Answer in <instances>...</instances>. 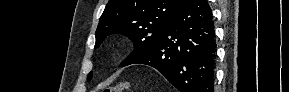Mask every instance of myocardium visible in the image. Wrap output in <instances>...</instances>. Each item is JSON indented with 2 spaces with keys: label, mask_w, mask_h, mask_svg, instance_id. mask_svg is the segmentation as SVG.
<instances>
[{
  "label": "myocardium",
  "mask_w": 289,
  "mask_h": 92,
  "mask_svg": "<svg viewBox=\"0 0 289 92\" xmlns=\"http://www.w3.org/2000/svg\"><path fill=\"white\" fill-rule=\"evenodd\" d=\"M118 51H119V52L122 51V48L119 47Z\"/></svg>",
  "instance_id": "f54148a6"
}]
</instances>
